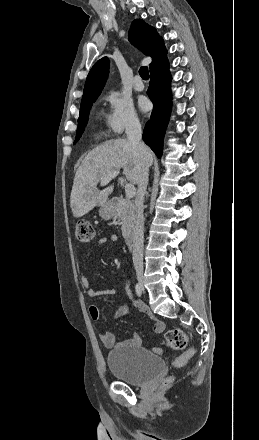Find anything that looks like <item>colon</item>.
Listing matches in <instances>:
<instances>
[{
	"label": "colon",
	"instance_id": "1",
	"mask_svg": "<svg viewBox=\"0 0 259 440\" xmlns=\"http://www.w3.org/2000/svg\"><path fill=\"white\" fill-rule=\"evenodd\" d=\"M76 237L81 243H88L94 237V228L88 221H80L76 227ZM164 343L167 347L174 350L183 351L173 362L177 368L184 366L194 355V349L189 346V338L181 329L168 330L164 335ZM172 378L168 377L163 386L170 384Z\"/></svg>",
	"mask_w": 259,
	"mask_h": 440
}]
</instances>
